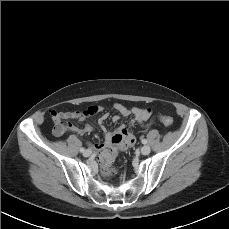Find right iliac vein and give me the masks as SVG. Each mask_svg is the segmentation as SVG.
Here are the masks:
<instances>
[{"label": "right iliac vein", "mask_w": 229, "mask_h": 229, "mask_svg": "<svg viewBox=\"0 0 229 229\" xmlns=\"http://www.w3.org/2000/svg\"><path fill=\"white\" fill-rule=\"evenodd\" d=\"M91 154H92V151H91V150H86V151H84V153H83V155H84L85 157H89Z\"/></svg>", "instance_id": "63e3f726"}]
</instances>
